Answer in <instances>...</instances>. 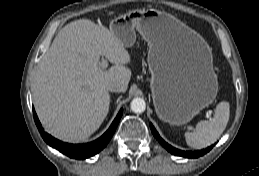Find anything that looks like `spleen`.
<instances>
[{
  "mask_svg": "<svg viewBox=\"0 0 259 176\" xmlns=\"http://www.w3.org/2000/svg\"><path fill=\"white\" fill-rule=\"evenodd\" d=\"M229 116V103L226 101L220 102L216 106L212 119L198 122L193 132L185 133L187 144L195 149H203L212 145L224 132Z\"/></svg>",
  "mask_w": 259,
  "mask_h": 176,
  "instance_id": "1",
  "label": "spleen"
}]
</instances>
